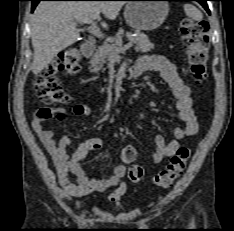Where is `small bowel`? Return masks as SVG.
Wrapping results in <instances>:
<instances>
[{
	"instance_id": "1",
	"label": "small bowel",
	"mask_w": 234,
	"mask_h": 231,
	"mask_svg": "<svg viewBox=\"0 0 234 231\" xmlns=\"http://www.w3.org/2000/svg\"><path fill=\"white\" fill-rule=\"evenodd\" d=\"M137 65L145 68V71L153 70L161 74L172 89L179 118L183 122L182 126L174 129V138L169 142L163 135L155 137L156 148L153 161L159 163L164 158L177 152L180 148L181 139L197 134L199 124L192 109L191 90L184 83L174 63L163 55L154 54L141 57ZM90 114L91 109L85 104H76L70 110H53L48 107H40L34 111L31 125L53 160L59 183L65 195L79 198L92 192H103L114 187L115 189L109 194L108 199L111 202H116L127 190V186L123 182L127 170L126 166L123 164L116 165L113 169V175L104 179L88 176L81 165V161L90 152L98 151L103 147V139L100 137L88 138L81 142L74 152L70 153V138L64 135L57 140L53 131L45 128V122L52 118L63 120L69 115L85 117ZM138 127L141 128V126ZM70 174L75 177L74 182L70 180Z\"/></svg>"
}]
</instances>
